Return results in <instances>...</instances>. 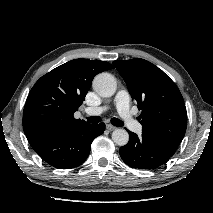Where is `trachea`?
<instances>
[{
	"label": "trachea",
	"instance_id": "trachea-1",
	"mask_svg": "<svg viewBox=\"0 0 213 213\" xmlns=\"http://www.w3.org/2000/svg\"><path fill=\"white\" fill-rule=\"evenodd\" d=\"M101 120V118L99 116H92V117H88L87 118V121L89 123H93V124H97L99 121ZM111 123L114 125V126H123V122L121 120H119L118 118H112L111 119Z\"/></svg>",
	"mask_w": 213,
	"mask_h": 213
}]
</instances>
